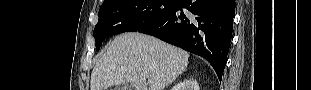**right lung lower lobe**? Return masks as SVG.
I'll list each match as a JSON object with an SVG mask.
<instances>
[{
	"instance_id": "98d812e1",
	"label": "right lung lower lobe",
	"mask_w": 311,
	"mask_h": 90,
	"mask_svg": "<svg viewBox=\"0 0 311 90\" xmlns=\"http://www.w3.org/2000/svg\"><path fill=\"white\" fill-rule=\"evenodd\" d=\"M234 14L235 0H179L170 13L138 32L206 58L221 80Z\"/></svg>"
}]
</instances>
